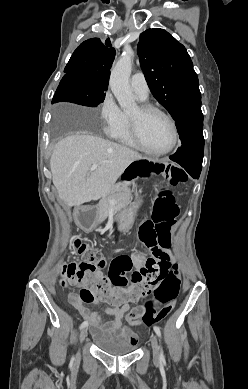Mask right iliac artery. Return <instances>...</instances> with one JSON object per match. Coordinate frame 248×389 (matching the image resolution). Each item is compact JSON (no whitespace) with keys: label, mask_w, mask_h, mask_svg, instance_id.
Here are the masks:
<instances>
[{"label":"right iliac artery","mask_w":248,"mask_h":389,"mask_svg":"<svg viewBox=\"0 0 248 389\" xmlns=\"http://www.w3.org/2000/svg\"><path fill=\"white\" fill-rule=\"evenodd\" d=\"M87 325H88V322H87V321H84V322L80 325V329L85 328ZM72 360H73V358H72Z\"/></svg>","instance_id":"1"}]
</instances>
